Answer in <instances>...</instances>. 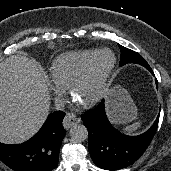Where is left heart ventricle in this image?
Returning <instances> with one entry per match:
<instances>
[{"label": "left heart ventricle", "mask_w": 171, "mask_h": 171, "mask_svg": "<svg viewBox=\"0 0 171 171\" xmlns=\"http://www.w3.org/2000/svg\"><path fill=\"white\" fill-rule=\"evenodd\" d=\"M111 61L112 57L109 52L101 53L97 57L88 77L77 87L75 100L78 103H84L90 100L97 93L100 76L110 65Z\"/></svg>", "instance_id": "obj_1"}]
</instances>
